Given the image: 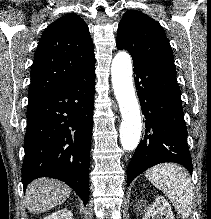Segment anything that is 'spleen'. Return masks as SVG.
I'll list each match as a JSON object with an SVG mask.
<instances>
[{"label":"spleen","mask_w":211,"mask_h":219,"mask_svg":"<svg viewBox=\"0 0 211 219\" xmlns=\"http://www.w3.org/2000/svg\"><path fill=\"white\" fill-rule=\"evenodd\" d=\"M145 176L173 203L183 219L190 216L193 204V184L189 173L176 164L165 163L149 169Z\"/></svg>","instance_id":"spleen-1"}]
</instances>
